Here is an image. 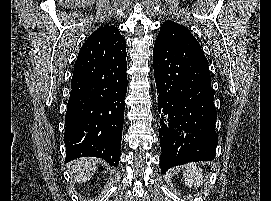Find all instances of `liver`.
<instances>
[{
    "label": "liver",
    "mask_w": 271,
    "mask_h": 201,
    "mask_svg": "<svg viewBox=\"0 0 271 201\" xmlns=\"http://www.w3.org/2000/svg\"><path fill=\"white\" fill-rule=\"evenodd\" d=\"M98 160L94 158H87L75 161L73 171L76 174L75 181L77 183L86 182L91 179L93 173L97 169Z\"/></svg>",
    "instance_id": "1"
}]
</instances>
